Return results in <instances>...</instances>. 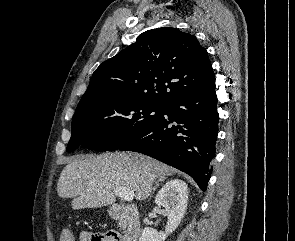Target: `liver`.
Returning <instances> with one entry per match:
<instances>
[{
  "label": "liver",
  "mask_w": 295,
  "mask_h": 241,
  "mask_svg": "<svg viewBox=\"0 0 295 241\" xmlns=\"http://www.w3.org/2000/svg\"><path fill=\"white\" fill-rule=\"evenodd\" d=\"M174 169L138 153H105L76 157L64 167L57 193L73 198L74 210L97 208L115 203L114 190L124 187L134 191L137 200L146 199L161 175Z\"/></svg>",
  "instance_id": "6515ba94"
}]
</instances>
